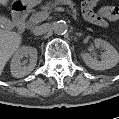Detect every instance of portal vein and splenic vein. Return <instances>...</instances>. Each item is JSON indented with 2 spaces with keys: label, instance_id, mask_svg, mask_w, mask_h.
<instances>
[{
  "label": "portal vein and splenic vein",
  "instance_id": "1",
  "mask_svg": "<svg viewBox=\"0 0 119 119\" xmlns=\"http://www.w3.org/2000/svg\"><path fill=\"white\" fill-rule=\"evenodd\" d=\"M56 11L64 12L65 9H64L63 7H57V8H56ZM47 17H48V14L43 12V13H39L38 15H36V16H35V20H36L37 22H41V21L46 20Z\"/></svg>",
  "mask_w": 119,
  "mask_h": 119
}]
</instances>
